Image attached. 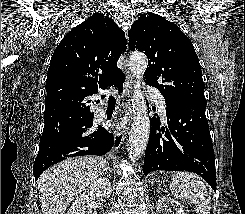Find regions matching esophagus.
Segmentation results:
<instances>
[{"label": "esophagus", "mask_w": 245, "mask_h": 214, "mask_svg": "<svg viewBox=\"0 0 245 214\" xmlns=\"http://www.w3.org/2000/svg\"><path fill=\"white\" fill-rule=\"evenodd\" d=\"M125 72H126V81L124 84V91L122 96L119 99V103L125 111V122L130 125L132 117V106H131V93L133 88V77L130 72L127 70V64L125 62ZM114 149L118 151L124 141L125 130L121 127H116L114 130Z\"/></svg>", "instance_id": "34e87169"}]
</instances>
